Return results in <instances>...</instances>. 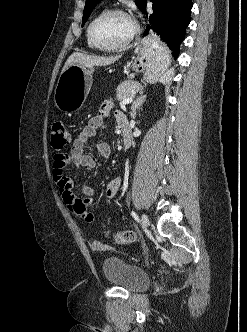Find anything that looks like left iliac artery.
I'll return each mask as SVG.
<instances>
[{
	"mask_svg": "<svg viewBox=\"0 0 247 332\" xmlns=\"http://www.w3.org/2000/svg\"><path fill=\"white\" fill-rule=\"evenodd\" d=\"M131 215L134 217V219H135L137 222H139V217H138V215H137L134 211L131 212Z\"/></svg>",
	"mask_w": 247,
	"mask_h": 332,
	"instance_id": "44dca946",
	"label": "left iliac artery"
}]
</instances>
